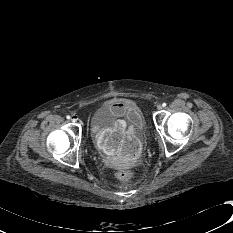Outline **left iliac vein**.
Here are the masks:
<instances>
[{
	"label": "left iliac vein",
	"instance_id": "4c4485c4",
	"mask_svg": "<svg viewBox=\"0 0 233 233\" xmlns=\"http://www.w3.org/2000/svg\"><path fill=\"white\" fill-rule=\"evenodd\" d=\"M162 108H163L162 105H160V104L157 105V110H162Z\"/></svg>",
	"mask_w": 233,
	"mask_h": 233
}]
</instances>
